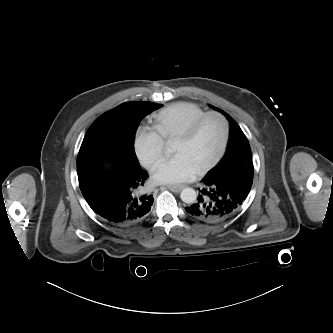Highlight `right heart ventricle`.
I'll return each instance as SVG.
<instances>
[{"label": "right heart ventricle", "mask_w": 333, "mask_h": 333, "mask_svg": "<svg viewBox=\"0 0 333 333\" xmlns=\"http://www.w3.org/2000/svg\"><path fill=\"white\" fill-rule=\"evenodd\" d=\"M206 113L193 103L181 102L172 104L153 116V129L164 140L176 138L194 120Z\"/></svg>", "instance_id": "1"}]
</instances>
